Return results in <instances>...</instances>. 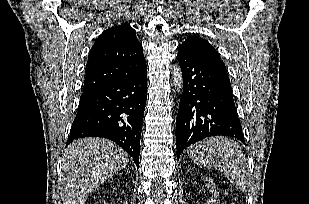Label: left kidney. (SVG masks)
Listing matches in <instances>:
<instances>
[{
    "label": "left kidney",
    "mask_w": 309,
    "mask_h": 204,
    "mask_svg": "<svg viewBox=\"0 0 309 204\" xmlns=\"http://www.w3.org/2000/svg\"><path fill=\"white\" fill-rule=\"evenodd\" d=\"M204 181L206 182L207 188H210V192L214 194V196H216L217 192L215 190V184L213 183V181L208 179L207 177L204 178Z\"/></svg>",
    "instance_id": "left-kidney-1"
}]
</instances>
